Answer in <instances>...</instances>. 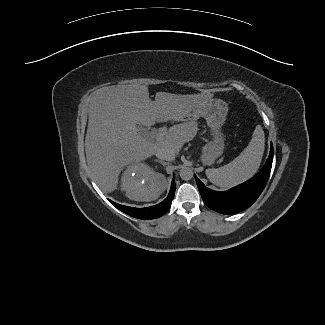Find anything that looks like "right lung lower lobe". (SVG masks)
I'll use <instances>...</instances> for the list:
<instances>
[{"label": "right lung lower lobe", "instance_id": "right-lung-lower-lobe-1", "mask_svg": "<svg viewBox=\"0 0 325 325\" xmlns=\"http://www.w3.org/2000/svg\"><path fill=\"white\" fill-rule=\"evenodd\" d=\"M175 193V177L172 179L170 192L166 199H164L161 203L145 207V208H134L129 206H124L117 204L110 200V202L122 212L139 219H155L162 216L171 206V201L173 200Z\"/></svg>", "mask_w": 325, "mask_h": 325}]
</instances>
